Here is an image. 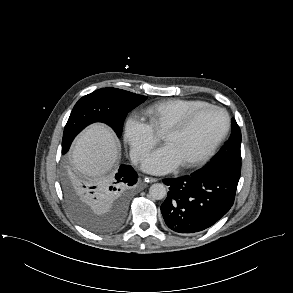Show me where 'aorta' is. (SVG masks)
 <instances>
[{
    "mask_svg": "<svg viewBox=\"0 0 293 293\" xmlns=\"http://www.w3.org/2000/svg\"><path fill=\"white\" fill-rule=\"evenodd\" d=\"M150 197L154 200H161L166 197L167 190L164 184L161 183H155L152 184L149 189Z\"/></svg>",
    "mask_w": 293,
    "mask_h": 293,
    "instance_id": "obj_1",
    "label": "aorta"
}]
</instances>
